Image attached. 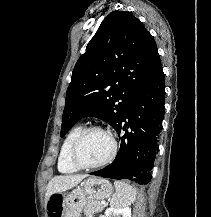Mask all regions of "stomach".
Masks as SVG:
<instances>
[{
	"mask_svg": "<svg viewBox=\"0 0 211 217\" xmlns=\"http://www.w3.org/2000/svg\"><path fill=\"white\" fill-rule=\"evenodd\" d=\"M113 186L109 180L90 177L63 198L61 217H80L88 200L98 201L110 197Z\"/></svg>",
	"mask_w": 211,
	"mask_h": 217,
	"instance_id": "stomach-1",
	"label": "stomach"
}]
</instances>
